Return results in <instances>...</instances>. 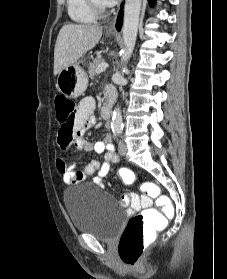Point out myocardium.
I'll return each instance as SVG.
<instances>
[{
    "label": "myocardium",
    "instance_id": "f54148a6",
    "mask_svg": "<svg viewBox=\"0 0 227 279\" xmlns=\"http://www.w3.org/2000/svg\"><path fill=\"white\" fill-rule=\"evenodd\" d=\"M86 3L95 16H103L107 12V7L99 5L96 0H86Z\"/></svg>",
    "mask_w": 227,
    "mask_h": 279
}]
</instances>
